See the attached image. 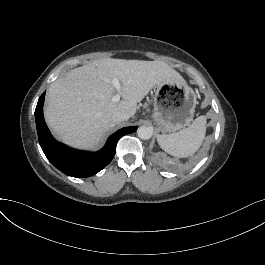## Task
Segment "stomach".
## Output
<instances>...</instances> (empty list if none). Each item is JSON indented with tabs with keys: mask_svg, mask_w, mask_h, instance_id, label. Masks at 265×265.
<instances>
[{
	"mask_svg": "<svg viewBox=\"0 0 265 265\" xmlns=\"http://www.w3.org/2000/svg\"><path fill=\"white\" fill-rule=\"evenodd\" d=\"M197 101L185 81H166L156 86L153 118L163 133L178 131L192 120Z\"/></svg>",
	"mask_w": 265,
	"mask_h": 265,
	"instance_id": "stomach-1",
	"label": "stomach"
}]
</instances>
